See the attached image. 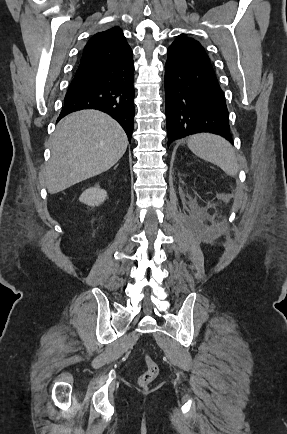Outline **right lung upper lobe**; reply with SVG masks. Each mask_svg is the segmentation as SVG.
<instances>
[{
    "label": "right lung upper lobe",
    "instance_id": "right-lung-upper-lobe-1",
    "mask_svg": "<svg viewBox=\"0 0 287 434\" xmlns=\"http://www.w3.org/2000/svg\"><path fill=\"white\" fill-rule=\"evenodd\" d=\"M132 54L122 30L114 27L95 34L85 45L79 67L103 64Z\"/></svg>",
    "mask_w": 287,
    "mask_h": 434
}]
</instances>
